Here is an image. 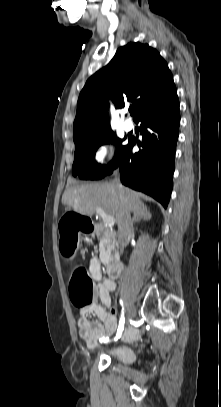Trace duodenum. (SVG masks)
I'll list each match as a JSON object with an SVG mask.
<instances>
[{"mask_svg":"<svg viewBox=\"0 0 221 407\" xmlns=\"http://www.w3.org/2000/svg\"><path fill=\"white\" fill-rule=\"evenodd\" d=\"M122 270H123V263L120 260H112L107 266L108 276H109V278L114 279V280L120 276V274L122 273Z\"/></svg>","mask_w":221,"mask_h":407,"instance_id":"1","label":"duodenum"}]
</instances>
